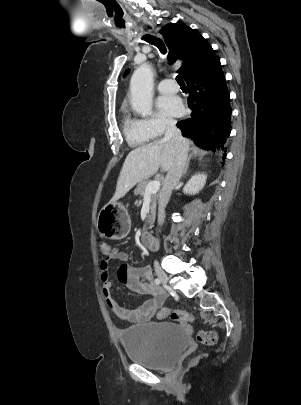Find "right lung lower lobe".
Wrapping results in <instances>:
<instances>
[{"mask_svg": "<svg viewBox=\"0 0 301 405\" xmlns=\"http://www.w3.org/2000/svg\"><path fill=\"white\" fill-rule=\"evenodd\" d=\"M185 81L190 94L188 105L193 112L188 119L178 122L177 127L202 148L226 149L224 144L231 132V107L220 60L216 59Z\"/></svg>", "mask_w": 301, "mask_h": 405, "instance_id": "right-lung-lower-lobe-1", "label": "right lung lower lobe"}]
</instances>
